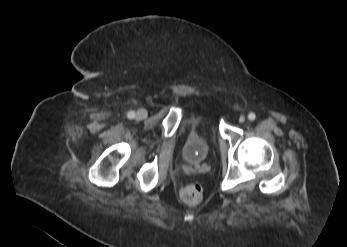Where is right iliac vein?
<instances>
[{
    "label": "right iliac vein",
    "instance_id": "63e3f726",
    "mask_svg": "<svg viewBox=\"0 0 347 247\" xmlns=\"http://www.w3.org/2000/svg\"><path fill=\"white\" fill-rule=\"evenodd\" d=\"M148 113L145 109H139L135 115V118L138 120L145 119L147 117Z\"/></svg>",
    "mask_w": 347,
    "mask_h": 247
}]
</instances>
